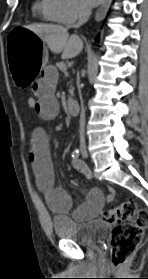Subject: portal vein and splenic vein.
Instances as JSON below:
<instances>
[{"mask_svg": "<svg viewBox=\"0 0 148 279\" xmlns=\"http://www.w3.org/2000/svg\"><path fill=\"white\" fill-rule=\"evenodd\" d=\"M63 70H65V68H64ZM65 74H66V76L68 75V73H67V72H65Z\"/></svg>", "mask_w": 148, "mask_h": 279, "instance_id": "portal-vein-and-splenic-vein-1", "label": "portal vein and splenic vein"}]
</instances>
